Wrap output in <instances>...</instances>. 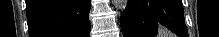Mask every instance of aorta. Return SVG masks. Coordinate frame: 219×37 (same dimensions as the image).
Here are the masks:
<instances>
[{
    "label": "aorta",
    "instance_id": "aorta-1",
    "mask_svg": "<svg viewBox=\"0 0 219 37\" xmlns=\"http://www.w3.org/2000/svg\"><path fill=\"white\" fill-rule=\"evenodd\" d=\"M113 5L115 8L119 10H123L127 7L128 1L127 0H112Z\"/></svg>",
    "mask_w": 219,
    "mask_h": 37
}]
</instances>
